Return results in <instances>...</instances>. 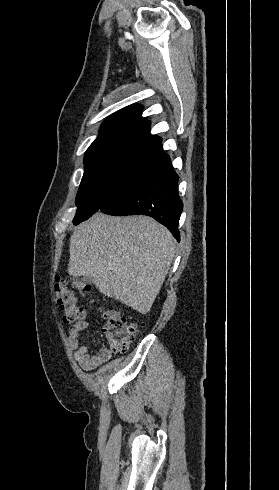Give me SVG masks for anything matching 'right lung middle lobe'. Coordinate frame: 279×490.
<instances>
[{
    "mask_svg": "<svg viewBox=\"0 0 279 490\" xmlns=\"http://www.w3.org/2000/svg\"><path fill=\"white\" fill-rule=\"evenodd\" d=\"M158 168L157 164L122 160L85 166L76 197L78 210L73 224L78 225L99 211L105 199L112 193L141 182Z\"/></svg>",
    "mask_w": 279,
    "mask_h": 490,
    "instance_id": "dd1d6c3e",
    "label": "right lung middle lobe"
}]
</instances>
